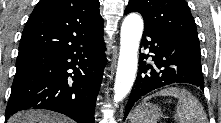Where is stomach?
I'll list each match as a JSON object with an SVG mask.
<instances>
[{
    "mask_svg": "<svg viewBox=\"0 0 221 123\" xmlns=\"http://www.w3.org/2000/svg\"><path fill=\"white\" fill-rule=\"evenodd\" d=\"M161 116L160 106L153 103H143L133 111L131 123H156Z\"/></svg>",
    "mask_w": 221,
    "mask_h": 123,
    "instance_id": "0dacf381",
    "label": "stomach"
}]
</instances>
